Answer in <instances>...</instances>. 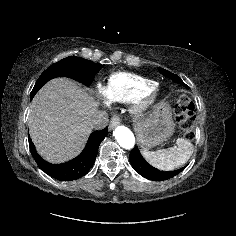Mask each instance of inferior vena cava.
Here are the masks:
<instances>
[{"label": "inferior vena cava", "instance_id": "1", "mask_svg": "<svg viewBox=\"0 0 236 236\" xmlns=\"http://www.w3.org/2000/svg\"><path fill=\"white\" fill-rule=\"evenodd\" d=\"M108 114L105 111L96 112L91 119L92 129H103L108 124Z\"/></svg>", "mask_w": 236, "mask_h": 236}]
</instances>
